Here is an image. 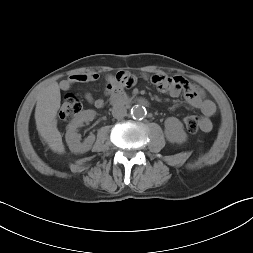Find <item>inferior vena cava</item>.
<instances>
[{"label": "inferior vena cava", "mask_w": 253, "mask_h": 253, "mask_svg": "<svg viewBox=\"0 0 253 253\" xmlns=\"http://www.w3.org/2000/svg\"><path fill=\"white\" fill-rule=\"evenodd\" d=\"M126 114H127V110L122 105H115L112 108V115H113V117H115L117 119L123 118L124 116H126Z\"/></svg>", "instance_id": "obj_1"}]
</instances>
